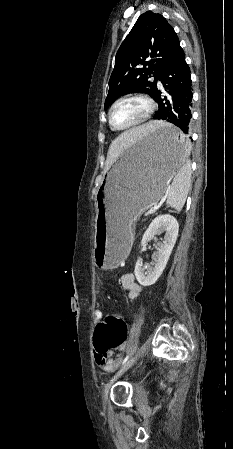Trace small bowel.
I'll return each mask as SVG.
<instances>
[{
  "label": "small bowel",
  "mask_w": 233,
  "mask_h": 449,
  "mask_svg": "<svg viewBox=\"0 0 233 449\" xmlns=\"http://www.w3.org/2000/svg\"><path fill=\"white\" fill-rule=\"evenodd\" d=\"M120 283L122 288L127 291L128 297L130 299H134L138 297L141 293V286L135 281V276L133 273L127 272L124 273L120 278ZM102 312L96 311L94 314V318L96 322H100L102 319ZM124 347H121L123 349ZM95 363L104 369L106 372H112L120 363V358L114 355L113 352H109L108 354L102 355L95 352L94 354Z\"/></svg>",
  "instance_id": "c3829d8e"
}]
</instances>
